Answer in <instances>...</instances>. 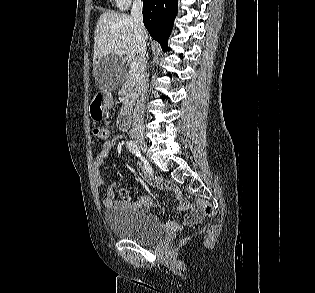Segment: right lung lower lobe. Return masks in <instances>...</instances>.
<instances>
[{
    "label": "right lung lower lobe",
    "instance_id": "right-lung-lower-lobe-1",
    "mask_svg": "<svg viewBox=\"0 0 315 293\" xmlns=\"http://www.w3.org/2000/svg\"><path fill=\"white\" fill-rule=\"evenodd\" d=\"M177 14V0H143V22L164 51Z\"/></svg>",
    "mask_w": 315,
    "mask_h": 293
}]
</instances>
